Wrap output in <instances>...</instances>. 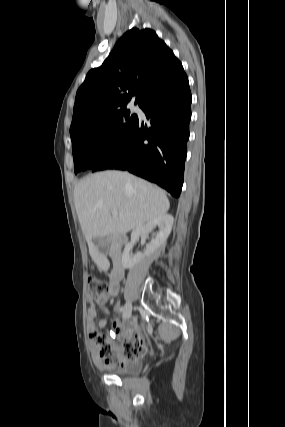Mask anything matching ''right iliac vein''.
<instances>
[{
	"mask_svg": "<svg viewBox=\"0 0 285 427\" xmlns=\"http://www.w3.org/2000/svg\"><path fill=\"white\" fill-rule=\"evenodd\" d=\"M131 315H132V304L130 302H127L126 305L124 306L123 318L128 319L131 317Z\"/></svg>",
	"mask_w": 285,
	"mask_h": 427,
	"instance_id": "right-iliac-vein-1",
	"label": "right iliac vein"
}]
</instances>
